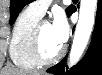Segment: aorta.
I'll return each instance as SVG.
<instances>
[{
    "label": "aorta",
    "instance_id": "aorta-1",
    "mask_svg": "<svg viewBox=\"0 0 102 75\" xmlns=\"http://www.w3.org/2000/svg\"><path fill=\"white\" fill-rule=\"evenodd\" d=\"M97 0H81L79 20L69 55V65H75L81 58L89 41L95 21Z\"/></svg>",
    "mask_w": 102,
    "mask_h": 75
}]
</instances>
